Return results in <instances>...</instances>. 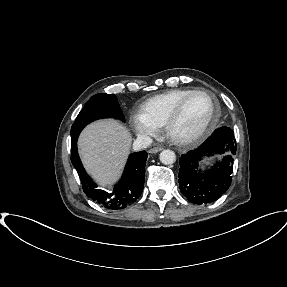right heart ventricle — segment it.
I'll use <instances>...</instances> for the list:
<instances>
[{"mask_svg":"<svg viewBox=\"0 0 287 287\" xmlns=\"http://www.w3.org/2000/svg\"><path fill=\"white\" fill-rule=\"evenodd\" d=\"M192 91V89H174L153 96L140 106L139 111L149 121L161 127L178 102Z\"/></svg>","mask_w":287,"mask_h":287,"instance_id":"right-heart-ventricle-1","label":"right heart ventricle"}]
</instances>
